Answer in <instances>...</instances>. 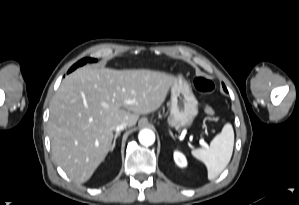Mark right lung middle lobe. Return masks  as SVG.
Segmentation results:
<instances>
[{"label": "right lung middle lobe", "instance_id": "dd1d6c3e", "mask_svg": "<svg viewBox=\"0 0 299 205\" xmlns=\"http://www.w3.org/2000/svg\"><path fill=\"white\" fill-rule=\"evenodd\" d=\"M95 61H96V59H93V58H84V59L80 60L79 62H77L75 65H73L70 68L69 72L73 71L74 69H76L79 66L84 65L86 62H95Z\"/></svg>", "mask_w": 299, "mask_h": 205}]
</instances>
